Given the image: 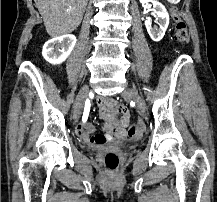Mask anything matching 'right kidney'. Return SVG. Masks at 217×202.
I'll use <instances>...</instances> for the list:
<instances>
[{"label":"right kidney","instance_id":"1","mask_svg":"<svg viewBox=\"0 0 217 202\" xmlns=\"http://www.w3.org/2000/svg\"><path fill=\"white\" fill-rule=\"evenodd\" d=\"M75 44L76 38L72 34L60 36V38H52V40H48L44 44L42 56L50 64H62L71 54Z\"/></svg>","mask_w":217,"mask_h":202}]
</instances>
